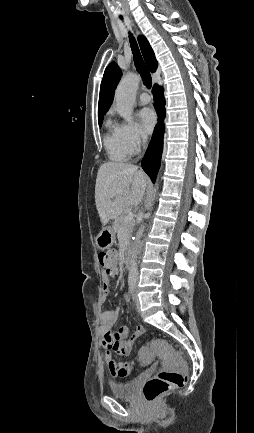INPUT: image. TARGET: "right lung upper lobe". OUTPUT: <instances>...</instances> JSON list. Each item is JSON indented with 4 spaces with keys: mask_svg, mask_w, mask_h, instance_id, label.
Returning a JSON list of instances; mask_svg holds the SVG:
<instances>
[{
    "mask_svg": "<svg viewBox=\"0 0 254 433\" xmlns=\"http://www.w3.org/2000/svg\"><path fill=\"white\" fill-rule=\"evenodd\" d=\"M138 42L145 59L146 65L151 72H155L158 66L154 52L147 39L140 35ZM121 70L115 62L110 63L105 69L100 86L98 103V121H103L105 113L110 108L114 98V91L121 77Z\"/></svg>",
    "mask_w": 254,
    "mask_h": 433,
    "instance_id": "right-lung-upper-lobe-1",
    "label": "right lung upper lobe"
}]
</instances>
